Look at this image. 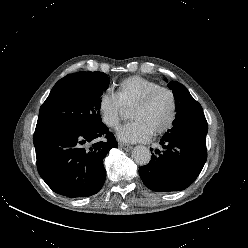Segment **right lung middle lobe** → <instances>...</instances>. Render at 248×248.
Segmentation results:
<instances>
[{"instance_id": "obj_1", "label": "right lung middle lobe", "mask_w": 248, "mask_h": 248, "mask_svg": "<svg viewBox=\"0 0 248 248\" xmlns=\"http://www.w3.org/2000/svg\"><path fill=\"white\" fill-rule=\"evenodd\" d=\"M109 86L103 72H77L55 90H51L39 111L37 126L54 128H99L101 95Z\"/></svg>"}]
</instances>
